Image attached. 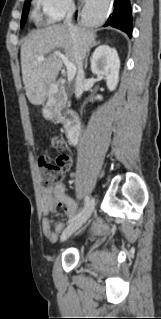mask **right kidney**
Masks as SVG:
<instances>
[{
    "mask_svg": "<svg viewBox=\"0 0 161 319\" xmlns=\"http://www.w3.org/2000/svg\"><path fill=\"white\" fill-rule=\"evenodd\" d=\"M120 59L114 48L108 45L99 46L93 53L91 59V71L96 75H103L110 91L115 90L119 81ZM95 99L101 100L97 95ZM93 100V99H92Z\"/></svg>",
    "mask_w": 161,
    "mask_h": 319,
    "instance_id": "right-kidney-1",
    "label": "right kidney"
}]
</instances>
